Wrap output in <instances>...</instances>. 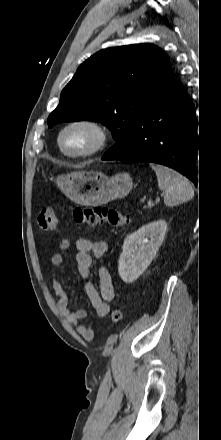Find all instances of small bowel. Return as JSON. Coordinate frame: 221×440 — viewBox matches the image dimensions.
I'll return each instance as SVG.
<instances>
[{"label":"small bowel","instance_id":"small-bowel-1","mask_svg":"<svg viewBox=\"0 0 221 440\" xmlns=\"http://www.w3.org/2000/svg\"><path fill=\"white\" fill-rule=\"evenodd\" d=\"M72 245L70 238H64L59 242V249L61 251L68 250ZM76 265L78 274L84 278L89 279L91 276V268L93 257L102 258L108 249L105 241L92 242L87 238H78L75 241ZM64 262L61 253H54L51 256V264L53 267H60ZM98 288L92 282L88 281L85 286V292L90 301V304L95 313L104 317L110 312V302L114 298V288L110 272L107 268L101 267L98 271ZM52 290L54 296L57 298V308L65 317V319L77 327L78 333L87 341L94 338V330L81 322L87 318V312L84 309H77L71 311L69 308V298L67 292L61 282L56 278L52 279Z\"/></svg>","mask_w":221,"mask_h":440}]
</instances>
